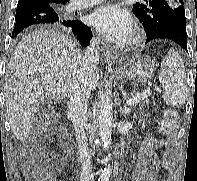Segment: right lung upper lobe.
Instances as JSON below:
<instances>
[{"label": "right lung upper lobe", "instance_id": "1", "mask_svg": "<svg viewBox=\"0 0 197 181\" xmlns=\"http://www.w3.org/2000/svg\"><path fill=\"white\" fill-rule=\"evenodd\" d=\"M43 2H46L52 6H57V5H65L67 2H69V0H41Z\"/></svg>", "mask_w": 197, "mask_h": 181}]
</instances>
